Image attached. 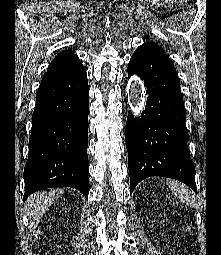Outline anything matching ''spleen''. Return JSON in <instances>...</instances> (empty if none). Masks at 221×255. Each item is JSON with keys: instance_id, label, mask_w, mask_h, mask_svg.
<instances>
[{"instance_id": "obj_1", "label": "spleen", "mask_w": 221, "mask_h": 255, "mask_svg": "<svg viewBox=\"0 0 221 255\" xmlns=\"http://www.w3.org/2000/svg\"><path fill=\"white\" fill-rule=\"evenodd\" d=\"M168 186L171 188V190L174 192L176 196L180 199L182 203H185L187 205H190L192 207L195 206V195L193 192H191L187 186L174 181V180H169L168 181Z\"/></svg>"}]
</instances>
